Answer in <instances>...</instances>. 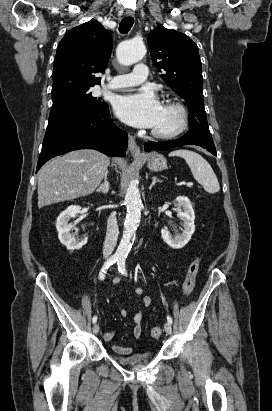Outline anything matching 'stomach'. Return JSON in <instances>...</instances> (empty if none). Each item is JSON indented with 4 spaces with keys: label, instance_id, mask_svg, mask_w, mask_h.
<instances>
[{
    "label": "stomach",
    "instance_id": "0dacf381",
    "mask_svg": "<svg viewBox=\"0 0 272 411\" xmlns=\"http://www.w3.org/2000/svg\"><path fill=\"white\" fill-rule=\"evenodd\" d=\"M147 167L152 171H162L167 167V160L162 154L151 153L146 157Z\"/></svg>",
    "mask_w": 272,
    "mask_h": 411
}]
</instances>
